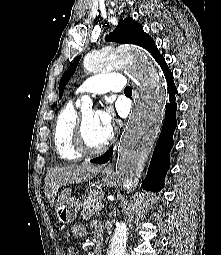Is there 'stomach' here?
Here are the masks:
<instances>
[{"label":"stomach","mask_w":221,"mask_h":255,"mask_svg":"<svg viewBox=\"0 0 221 255\" xmlns=\"http://www.w3.org/2000/svg\"><path fill=\"white\" fill-rule=\"evenodd\" d=\"M102 181L107 186H113L116 184V177L113 174H103ZM79 210V199L71 196L67 190L62 191L54 208V213L58 221L62 224H69L73 222L77 218Z\"/></svg>","instance_id":"obj_1"}]
</instances>
